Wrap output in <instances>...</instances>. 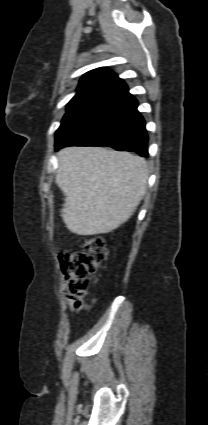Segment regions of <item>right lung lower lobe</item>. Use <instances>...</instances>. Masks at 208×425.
<instances>
[{"label":"right lung lower lobe","instance_id":"1","mask_svg":"<svg viewBox=\"0 0 208 425\" xmlns=\"http://www.w3.org/2000/svg\"><path fill=\"white\" fill-rule=\"evenodd\" d=\"M127 85L116 80L98 93L56 132V149L66 146H109L148 157L145 121Z\"/></svg>","mask_w":208,"mask_h":425}]
</instances>
